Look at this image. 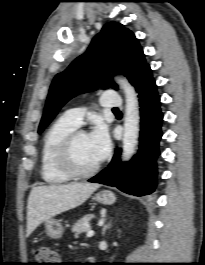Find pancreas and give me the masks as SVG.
I'll list each match as a JSON object with an SVG mask.
<instances>
[{
  "label": "pancreas",
  "mask_w": 205,
  "mask_h": 265,
  "mask_svg": "<svg viewBox=\"0 0 205 265\" xmlns=\"http://www.w3.org/2000/svg\"><path fill=\"white\" fill-rule=\"evenodd\" d=\"M92 219V215L88 214L81 219H79L72 227V232L74 233L75 237L77 238L79 234L83 232H87L90 230V220Z\"/></svg>",
  "instance_id": "cf45deb5"
}]
</instances>
